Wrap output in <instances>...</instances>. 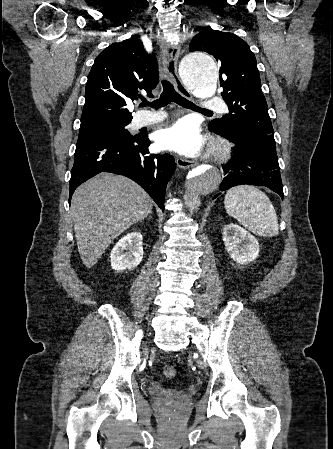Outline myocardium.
<instances>
[{
  "instance_id": "obj_1",
  "label": "myocardium",
  "mask_w": 333,
  "mask_h": 449,
  "mask_svg": "<svg viewBox=\"0 0 333 449\" xmlns=\"http://www.w3.org/2000/svg\"><path fill=\"white\" fill-rule=\"evenodd\" d=\"M230 149L225 144H219L214 150H213V158L216 161H223L225 160L229 155Z\"/></svg>"
}]
</instances>
